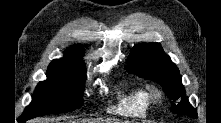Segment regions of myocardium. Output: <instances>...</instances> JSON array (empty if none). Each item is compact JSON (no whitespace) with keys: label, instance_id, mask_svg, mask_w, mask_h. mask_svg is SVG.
<instances>
[{"label":"myocardium","instance_id":"f54148a6","mask_svg":"<svg viewBox=\"0 0 221 123\" xmlns=\"http://www.w3.org/2000/svg\"><path fill=\"white\" fill-rule=\"evenodd\" d=\"M148 99L154 103H159L163 99V92L156 86H150L147 91Z\"/></svg>","mask_w":221,"mask_h":123}]
</instances>
